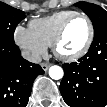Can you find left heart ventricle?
<instances>
[{
    "mask_svg": "<svg viewBox=\"0 0 107 107\" xmlns=\"http://www.w3.org/2000/svg\"><path fill=\"white\" fill-rule=\"evenodd\" d=\"M89 35V27L83 18H76L66 29L64 38L59 45V51L63 54L70 55L78 52Z\"/></svg>",
    "mask_w": 107,
    "mask_h": 107,
    "instance_id": "b2bd125f",
    "label": "left heart ventricle"
}]
</instances>
